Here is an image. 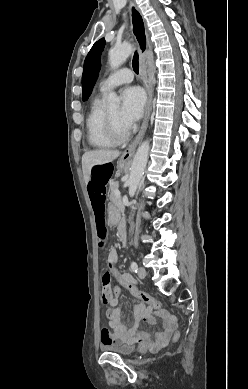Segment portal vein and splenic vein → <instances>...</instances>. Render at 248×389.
Listing matches in <instances>:
<instances>
[{
  "label": "portal vein and splenic vein",
  "mask_w": 248,
  "mask_h": 389,
  "mask_svg": "<svg viewBox=\"0 0 248 389\" xmlns=\"http://www.w3.org/2000/svg\"><path fill=\"white\" fill-rule=\"evenodd\" d=\"M115 194L116 195H121V193L118 190L115 192Z\"/></svg>",
  "instance_id": "obj_1"
}]
</instances>
